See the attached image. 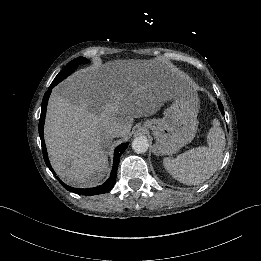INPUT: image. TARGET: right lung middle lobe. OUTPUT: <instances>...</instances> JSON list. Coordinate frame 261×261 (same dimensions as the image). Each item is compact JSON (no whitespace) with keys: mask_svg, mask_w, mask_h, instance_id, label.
<instances>
[{"mask_svg":"<svg viewBox=\"0 0 261 261\" xmlns=\"http://www.w3.org/2000/svg\"><path fill=\"white\" fill-rule=\"evenodd\" d=\"M89 61L83 57H78L69 62L55 77L51 85L56 86L59 82L69 76L79 64H86Z\"/></svg>","mask_w":261,"mask_h":261,"instance_id":"dd1d6c3e","label":"right lung middle lobe"}]
</instances>
